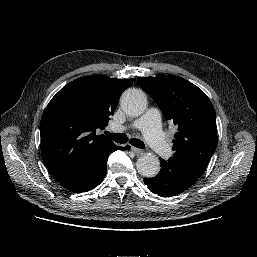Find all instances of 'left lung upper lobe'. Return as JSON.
I'll return each instance as SVG.
<instances>
[{
    "instance_id": "1",
    "label": "left lung upper lobe",
    "mask_w": 257,
    "mask_h": 257,
    "mask_svg": "<svg viewBox=\"0 0 257 257\" xmlns=\"http://www.w3.org/2000/svg\"><path fill=\"white\" fill-rule=\"evenodd\" d=\"M137 82L178 126L174 156L205 170L217 145L216 115L207 95L178 76L138 77Z\"/></svg>"
}]
</instances>
